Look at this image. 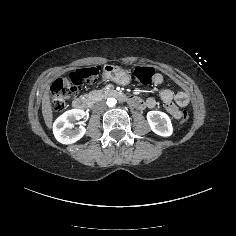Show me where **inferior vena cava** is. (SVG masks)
I'll return each instance as SVG.
<instances>
[{
    "mask_svg": "<svg viewBox=\"0 0 236 236\" xmlns=\"http://www.w3.org/2000/svg\"><path fill=\"white\" fill-rule=\"evenodd\" d=\"M92 110L96 113H101L105 110V103L103 102H99V103H96L93 107H92Z\"/></svg>",
    "mask_w": 236,
    "mask_h": 236,
    "instance_id": "inferior-vena-cava-1",
    "label": "inferior vena cava"
}]
</instances>
